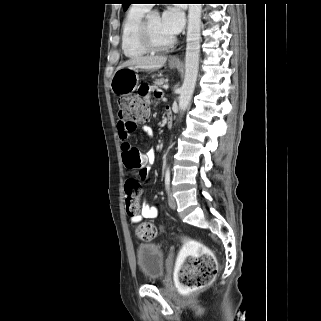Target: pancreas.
Returning a JSON list of instances; mask_svg holds the SVG:
<instances>
[{
    "label": "pancreas",
    "mask_w": 321,
    "mask_h": 321,
    "mask_svg": "<svg viewBox=\"0 0 321 321\" xmlns=\"http://www.w3.org/2000/svg\"><path fill=\"white\" fill-rule=\"evenodd\" d=\"M166 82H167V80H165L164 78L156 79V80L154 81V87H161V86H163Z\"/></svg>",
    "instance_id": "1"
}]
</instances>
